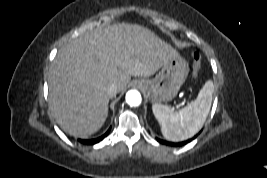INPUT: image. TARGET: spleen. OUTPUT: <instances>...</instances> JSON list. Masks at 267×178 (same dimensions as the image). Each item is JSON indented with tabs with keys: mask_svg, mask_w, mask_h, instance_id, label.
I'll list each match as a JSON object with an SVG mask.
<instances>
[{
	"mask_svg": "<svg viewBox=\"0 0 267 178\" xmlns=\"http://www.w3.org/2000/svg\"><path fill=\"white\" fill-rule=\"evenodd\" d=\"M213 90V82L208 80L197 98L178 111L167 105L152 104L153 114L161 126L163 136L167 140L177 142L191 138L198 133L209 114Z\"/></svg>",
	"mask_w": 267,
	"mask_h": 178,
	"instance_id": "obj_1",
	"label": "spleen"
}]
</instances>
